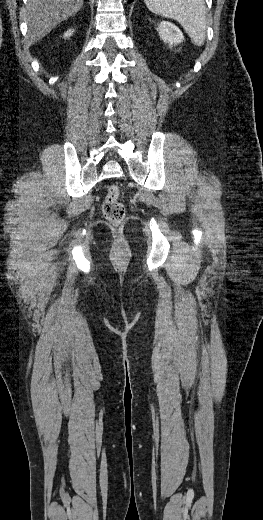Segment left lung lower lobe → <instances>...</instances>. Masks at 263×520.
I'll return each instance as SVG.
<instances>
[{
  "mask_svg": "<svg viewBox=\"0 0 263 520\" xmlns=\"http://www.w3.org/2000/svg\"><path fill=\"white\" fill-rule=\"evenodd\" d=\"M133 0H128V3L132 2Z\"/></svg>",
  "mask_w": 263,
  "mask_h": 520,
  "instance_id": "left-lung-lower-lobe-1",
  "label": "left lung lower lobe"
}]
</instances>
